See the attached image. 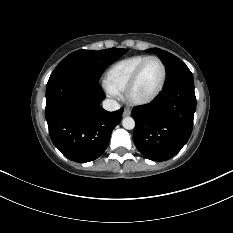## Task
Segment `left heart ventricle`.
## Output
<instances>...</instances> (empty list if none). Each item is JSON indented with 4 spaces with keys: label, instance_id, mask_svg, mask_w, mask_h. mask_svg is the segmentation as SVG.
Masks as SVG:
<instances>
[{
    "label": "left heart ventricle",
    "instance_id": "left-heart-ventricle-1",
    "mask_svg": "<svg viewBox=\"0 0 233 233\" xmlns=\"http://www.w3.org/2000/svg\"><path fill=\"white\" fill-rule=\"evenodd\" d=\"M162 75L163 70L161 64L157 60L149 61L133 88L132 97L135 99H143L152 95L158 89Z\"/></svg>",
    "mask_w": 233,
    "mask_h": 233
}]
</instances>
